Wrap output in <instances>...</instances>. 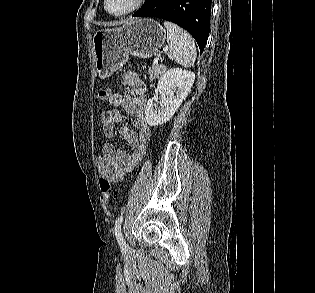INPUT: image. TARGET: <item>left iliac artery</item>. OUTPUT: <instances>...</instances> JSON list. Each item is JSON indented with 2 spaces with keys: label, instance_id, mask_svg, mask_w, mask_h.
<instances>
[{
  "label": "left iliac artery",
  "instance_id": "obj_1",
  "mask_svg": "<svg viewBox=\"0 0 315 293\" xmlns=\"http://www.w3.org/2000/svg\"><path fill=\"white\" fill-rule=\"evenodd\" d=\"M123 221V215H121L115 222V226H114V233L117 239L118 244L120 245L121 248H126V242L123 238V235L121 233V224Z\"/></svg>",
  "mask_w": 315,
  "mask_h": 293
}]
</instances>
